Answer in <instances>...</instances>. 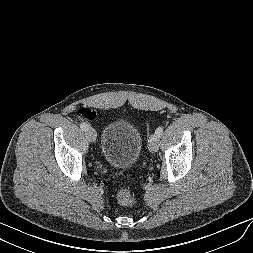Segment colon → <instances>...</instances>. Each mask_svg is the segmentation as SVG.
I'll list each match as a JSON object with an SVG mask.
<instances>
[{"instance_id": "colon-1", "label": "colon", "mask_w": 253, "mask_h": 253, "mask_svg": "<svg viewBox=\"0 0 253 253\" xmlns=\"http://www.w3.org/2000/svg\"><path fill=\"white\" fill-rule=\"evenodd\" d=\"M81 118L91 120L94 116V111L89 108H81L78 111ZM116 199L118 203L125 207H132L136 204V198L129 188L121 187L116 191Z\"/></svg>"}]
</instances>
